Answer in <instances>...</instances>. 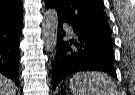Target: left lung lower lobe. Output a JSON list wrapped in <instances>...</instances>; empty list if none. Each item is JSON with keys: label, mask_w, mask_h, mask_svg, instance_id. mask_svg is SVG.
Masks as SVG:
<instances>
[{"label": "left lung lower lobe", "mask_w": 135, "mask_h": 95, "mask_svg": "<svg viewBox=\"0 0 135 95\" xmlns=\"http://www.w3.org/2000/svg\"><path fill=\"white\" fill-rule=\"evenodd\" d=\"M58 19L57 52L53 61L52 87L55 90L60 81L80 71H103L117 79L113 66L114 51L111 32L89 30L72 25L75 38L64 40L66 32Z\"/></svg>", "instance_id": "left-lung-lower-lobe-1"}]
</instances>
